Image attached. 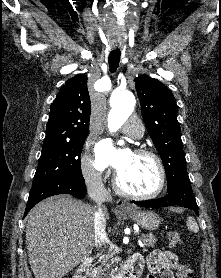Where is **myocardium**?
I'll return each instance as SVG.
<instances>
[{"label":"myocardium","instance_id":"myocardium-1","mask_svg":"<svg viewBox=\"0 0 221 278\" xmlns=\"http://www.w3.org/2000/svg\"><path fill=\"white\" fill-rule=\"evenodd\" d=\"M133 153L137 154V155L148 156L156 162L158 170H159V182H158L157 188L154 191L149 192V193H136V192L129 191L121 185L118 172H116L114 179H113L114 188L123 196L132 198V199L146 200V199H153V198L158 197L163 192V190L166 186V180H167L166 169H165L162 159L155 152H153L149 149H145V148H136L133 151Z\"/></svg>","mask_w":221,"mask_h":278}]
</instances>
